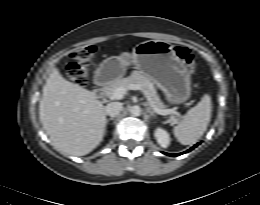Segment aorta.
<instances>
[{
  "instance_id": "obj_1",
  "label": "aorta",
  "mask_w": 260,
  "mask_h": 205,
  "mask_svg": "<svg viewBox=\"0 0 260 205\" xmlns=\"http://www.w3.org/2000/svg\"><path fill=\"white\" fill-rule=\"evenodd\" d=\"M129 112L133 115V116H140L141 115V108L138 105H134L131 106L129 108Z\"/></svg>"
}]
</instances>
